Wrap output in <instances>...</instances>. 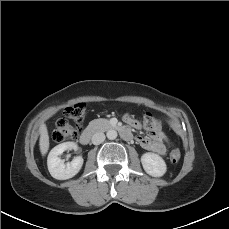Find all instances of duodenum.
Here are the masks:
<instances>
[{"mask_svg": "<svg viewBox=\"0 0 229 229\" xmlns=\"http://www.w3.org/2000/svg\"><path fill=\"white\" fill-rule=\"evenodd\" d=\"M112 129H118L119 126L115 123L110 126ZM120 135L123 139L125 140H130L132 139V134L127 128H120ZM96 134V128L95 127H87L85 130L80 135L79 141L83 145H88L92 139V137Z\"/></svg>", "mask_w": 229, "mask_h": 229, "instance_id": "obj_1", "label": "duodenum"}]
</instances>
